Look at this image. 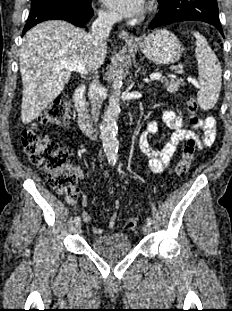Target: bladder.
<instances>
[{"label": "bladder", "mask_w": 232, "mask_h": 311, "mask_svg": "<svg viewBox=\"0 0 232 311\" xmlns=\"http://www.w3.org/2000/svg\"><path fill=\"white\" fill-rule=\"evenodd\" d=\"M132 248L128 235L123 233H106L93 239L92 249L109 257L128 253Z\"/></svg>", "instance_id": "1"}]
</instances>
